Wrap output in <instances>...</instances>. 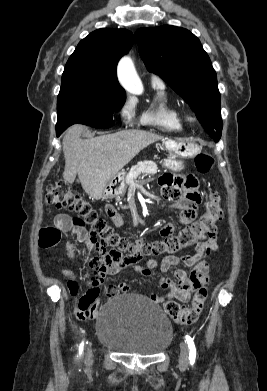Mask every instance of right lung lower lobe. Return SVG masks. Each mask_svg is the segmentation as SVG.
Wrapping results in <instances>:
<instances>
[{
  "instance_id": "98d812e1",
  "label": "right lung lower lobe",
  "mask_w": 267,
  "mask_h": 391,
  "mask_svg": "<svg viewBox=\"0 0 267 391\" xmlns=\"http://www.w3.org/2000/svg\"><path fill=\"white\" fill-rule=\"evenodd\" d=\"M61 133H59L58 131H57V136H59Z\"/></svg>"
}]
</instances>
